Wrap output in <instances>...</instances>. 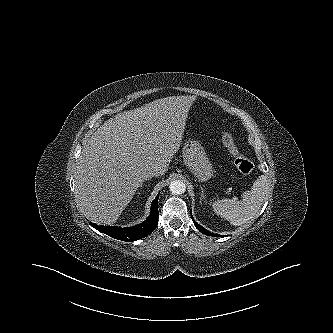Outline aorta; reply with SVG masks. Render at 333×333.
Returning a JSON list of instances; mask_svg holds the SVG:
<instances>
[{"label": "aorta", "mask_w": 333, "mask_h": 333, "mask_svg": "<svg viewBox=\"0 0 333 333\" xmlns=\"http://www.w3.org/2000/svg\"><path fill=\"white\" fill-rule=\"evenodd\" d=\"M169 190L174 195L183 194L186 190V185L181 180H174L169 185Z\"/></svg>", "instance_id": "obj_1"}]
</instances>
